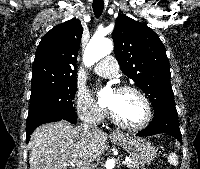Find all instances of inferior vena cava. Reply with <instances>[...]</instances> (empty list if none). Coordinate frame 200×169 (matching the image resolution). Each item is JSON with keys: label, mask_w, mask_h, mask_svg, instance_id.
I'll use <instances>...</instances> for the list:
<instances>
[{"label": "inferior vena cava", "mask_w": 200, "mask_h": 169, "mask_svg": "<svg viewBox=\"0 0 200 169\" xmlns=\"http://www.w3.org/2000/svg\"><path fill=\"white\" fill-rule=\"evenodd\" d=\"M83 128L85 131H87V130L98 131L99 130L96 125H89L87 123L83 124Z\"/></svg>", "instance_id": "1"}]
</instances>
